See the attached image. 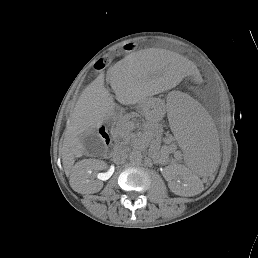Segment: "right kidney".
<instances>
[{
  "mask_svg": "<svg viewBox=\"0 0 258 258\" xmlns=\"http://www.w3.org/2000/svg\"><path fill=\"white\" fill-rule=\"evenodd\" d=\"M104 167V162H95V161H86L82 164V167L80 170L84 171L85 173H88V170H99L102 169ZM107 179V178H106ZM102 188V183H100L97 186H94L90 189V193H94V192H98L100 189Z\"/></svg>",
  "mask_w": 258,
  "mask_h": 258,
  "instance_id": "right-kidney-1",
  "label": "right kidney"
}]
</instances>
